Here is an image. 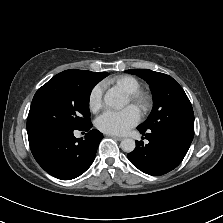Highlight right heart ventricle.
Segmentation results:
<instances>
[{"label": "right heart ventricle", "instance_id": "e07e8e85", "mask_svg": "<svg viewBox=\"0 0 223 223\" xmlns=\"http://www.w3.org/2000/svg\"><path fill=\"white\" fill-rule=\"evenodd\" d=\"M109 83H115L117 86H120L127 94H134L141 90L140 82L135 77L129 75L118 76L109 81Z\"/></svg>", "mask_w": 223, "mask_h": 223}]
</instances>
